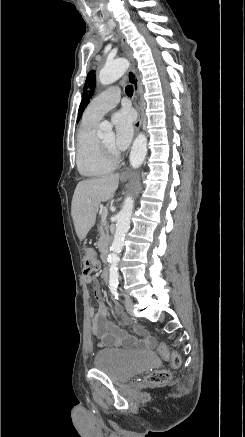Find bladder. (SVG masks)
<instances>
[{
    "label": "bladder",
    "instance_id": "1",
    "mask_svg": "<svg viewBox=\"0 0 245 437\" xmlns=\"http://www.w3.org/2000/svg\"><path fill=\"white\" fill-rule=\"evenodd\" d=\"M157 359L147 351L105 349L93 361L94 368L105 373L114 382H127L134 376L153 368Z\"/></svg>",
    "mask_w": 245,
    "mask_h": 437
}]
</instances>
